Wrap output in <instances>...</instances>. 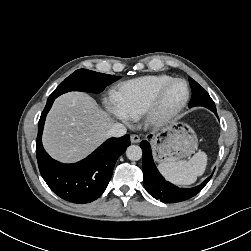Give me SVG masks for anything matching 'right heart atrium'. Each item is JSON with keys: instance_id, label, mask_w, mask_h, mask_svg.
Returning a JSON list of instances; mask_svg holds the SVG:
<instances>
[{"instance_id": "1", "label": "right heart atrium", "mask_w": 251, "mask_h": 251, "mask_svg": "<svg viewBox=\"0 0 251 251\" xmlns=\"http://www.w3.org/2000/svg\"><path fill=\"white\" fill-rule=\"evenodd\" d=\"M106 106L108 110L115 116H117L119 119H121L124 122H129L130 118L118 108L113 98H108L106 100Z\"/></svg>"}]
</instances>
